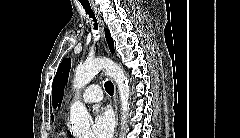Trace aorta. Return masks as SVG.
I'll return each mask as SVG.
<instances>
[{
    "mask_svg": "<svg viewBox=\"0 0 240 138\" xmlns=\"http://www.w3.org/2000/svg\"><path fill=\"white\" fill-rule=\"evenodd\" d=\"M101 69H105L106 74L113 78L118 87L122 111V128L120 137L123 138L127 128V113L130 105V86L128 84L127 77L124 74L123 68H121L115 62L105 58H97L86 61L76 68L73 87L74 89L83 88L96 76ZM91 121L92 118L89 115L86 107L79 100L75 101L71 105L70 110V130L73 135L77 138H90Z\"/></svg>",
    "mask_w": 240,
    "mask_h": 138,
    "instance_id": "obj_1",
    "label": "aorta"
}]
</instances>
